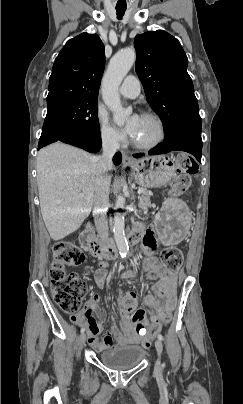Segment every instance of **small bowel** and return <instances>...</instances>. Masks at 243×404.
Segmentation results:
<instances>
[{"label": "small bowel", "mask_w": 243, "mask_h": 404, "mask_svg": "<svg viewBox=\"0 0 243 404\" xmlns=\"http://www.w3.org/2000/svg\"><path fill=\"white\" fill-rule=\"evenodd\" d=\"M142 234V250L144 253V266L154 269L161 276L153 287V294L145 298V305L151 310L147 316L143 308H137L134 313L124 316L122 329L116 324L111 327V335H106L99 339V320L93 315L98 312V295H92L86 304L83 312L71 316V320L77 325H85L89 336V343L98 352H102L113 347L131 345L138 342L150 341L167 324L169 320L165 317L171 316L176 302L177 277L165 275L154 251L157 247L156 236L151 229H147ZM106 271L99 269L95 273V281L99 287L105 284Z\"/></svg>", "instance_id": "1"}]
</instances>
